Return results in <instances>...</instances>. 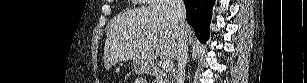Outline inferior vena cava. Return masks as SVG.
Wrapping results in <instances>:
<instances>
[{
    "label": "inferior vena cava",
    "mask_w": 307,
    "mask_h": 83,
    "mask_svg": "<svg viewBox=\"0 0 307 83\" xmlns=\"http://www.w3.org/2000/svg\"><path fill=\"white\" fill-rule=\"evenodd\" d=\"M171 9L174 12V16L177 20L179 30V47L176 54V60L178 62L176 83H184L185 70L188 60V37L186 29L188 24L186 22V9L183 0H170Z\"/></svg>",
    "instance_id": "602c4592"
}]
</instances>
